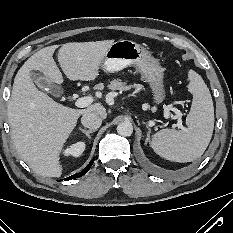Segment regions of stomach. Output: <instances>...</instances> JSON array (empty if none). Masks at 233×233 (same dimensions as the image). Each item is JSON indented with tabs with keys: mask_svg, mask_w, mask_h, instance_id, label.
Masks as SVG:
<instances>
[{
	"mask_svg": "<svg viewBox=\"0 0 233 233\" xmlns=\"http://www.w3.org/2000/svg\"><path fill=\"white\" fill-rule=\"evenodd\" d=\"M128 66L135 67L143 81L150 85L154 103H162L165 99L163 69L158 60L134 41H115L104 55L102 69L105 72L114 73Z\"/></svg>",
	"mask_w": 233,
	"mask_h": 233,
	"instance_id": "stomach-1",
	"label": "stomach"
}]
</instances>
